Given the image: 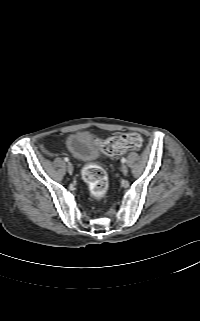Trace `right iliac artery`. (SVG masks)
<instances>
[{
    "mask_svg": "<svg viewBox=\"0 0 200 321\" xmlns=\"http://www.w3.org/2000/svg\"><path fill=\"white\" fill-rule=\"evenodd\" d=\"M64 160H65L66 162H68V161H69V159H68L67 157H65V158H64Z\"/></svg>",
    "mask_w": 200,
    "mask_h": 321,
    "instance_id": "1",
    "label": "right iliac artery"
}]
</instances>
